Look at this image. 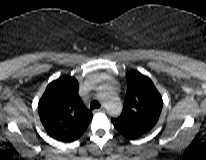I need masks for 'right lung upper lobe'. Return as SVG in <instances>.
Instances as JSON below:
<instances>
[{"label": "right lung upper lobe", "mask_w": 206, "mask_h": 160, "mask_svg": "<svg viewBox=\"0 0 206 160\" xmlns=\"http://www.w3.org/2000/svg\"><path fill=\"white\" fill-rule=\"evenodd\" d=\"M38 112L46 132L62 142L80 138L93 117L78 95V81L70 76L60 77L47 86Z\"/></svg>", "instance_id": "obj_1"}]
</instances>
